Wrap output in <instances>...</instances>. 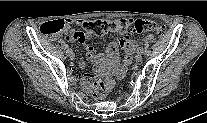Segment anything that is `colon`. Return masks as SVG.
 Segmentation results:
<instances>
[{
    "label": "colon",
    "mask_w": 207,
    "mask_h": 123,
    "mask_svg": "<svg viewBox=\"0 0 207 123\" xmlns=\"http://www.w3.org/2000/svg\"><path fill=\"white\" fill-rule=\"evenodd\" d=\"M118 24L121 26L123 31V36L120 38L119 42L122 46L128 36L132 32L135 33H154L162 34L163 26L149 20H136L133 23L128 19L118 20ZM113 25V21L106 19H94L84 22L83 29L85 34L91 35H103L108 32ZM64 23L62 20H54L50 22H45L40 25L39 32L45 36H52L61 32ZM116 86V82L113 78H107L104 81L96 82L93 84V94L97 99H103L107 97Z\"/></svg>",
    "instance_id": "1"
}]
</instances>
